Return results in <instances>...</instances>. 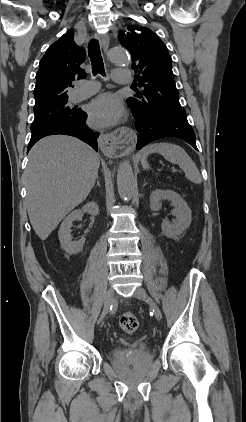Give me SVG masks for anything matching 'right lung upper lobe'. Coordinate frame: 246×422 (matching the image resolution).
<instances>
[{"instance_id": "right-lung-upper-lobe-1", "label": "right lung upper lobe", "mask_w": 246, "mask_h": 422, "mask_svg": "<svg viewBox=\"0 0 246 422\" xmlns=\"http://www.w3.org/2000/svg\"><path fill=\"white\" fill-rule=\"evenodd\" d=\"M73 39V32H66L42 57L36 74L34 109L68 99L71 82L86 77L80 68L86 57L85 49L76 45Z\"/></svg>"}]
</instances>
